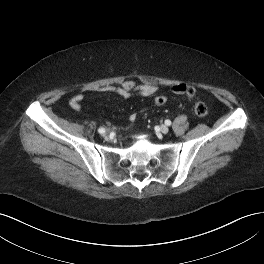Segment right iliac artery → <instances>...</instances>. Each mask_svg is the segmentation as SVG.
<instances>
[{"mask_svg": "<svg viewBox=\"0 0 264 264\" xmlns=\"http://www.w3.org/2000/svg\"><path fill=\"white\" fill-rule=\"evenodd\" d=\"M98 132H99L100 134H103V133H105V129H104V128H99V129H98Z\"/></svg>", "mask_w": 264, "mask_h": 264, "instance_id": "82829eb1", "label": "right iliac artery"}]
</instances>
